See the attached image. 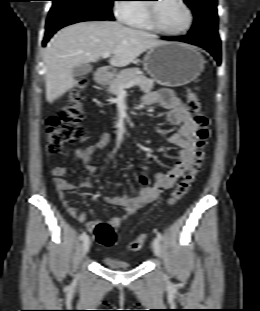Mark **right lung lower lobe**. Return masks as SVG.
I'll return each mask as SVG.
<instances>
[{"mask_svg": "<svg viewBox=\"0 0 260 311\" xmlns=\"http://www.w3.org/2000/svg\"><path fill=\"white\" fill-rule=\"evenodd\" d=\"M94 20H113L100 15L76 11L66 8H61L57 11L50 10L46 23L45 38L43 40V46L46 45L50 37L60 28L82 21H94Z\"/></svg>", "mask_w": 260, "mask_h": 311, "instance_id": "98d812e1", "label": "right lung lower lobe"}]
</instances>
